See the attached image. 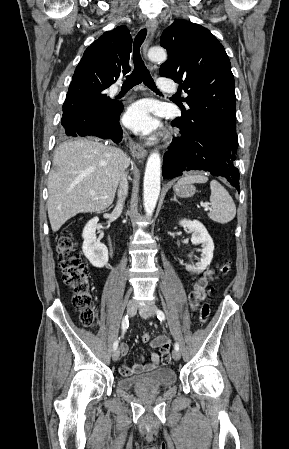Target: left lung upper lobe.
Wrapping results in <instances>:
<instances>
[{"instance_id":"1","label":"left lung upper lobe","mask_w":289,"mask_h":449,"mask_svg":"<svg viewBox=\"0 0 289 449\" xmlns=\"http://www.w3.org/2000/svg\"><path fill=\"white\" fill-rule=\"evenodd\" d=\"M160 45L168 52L160 75L188 94L184 101L190 109L176 119L187 126L208 122L236 132L234 76L217 38L201 25L179 19L163 31Z\"/></svg>"}]
</instances>
